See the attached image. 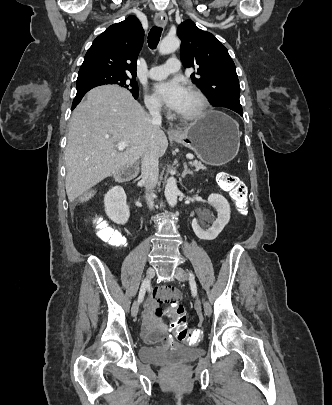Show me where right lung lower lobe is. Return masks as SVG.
I'll return each instance as SVG.
<instances>
[{
	"instance_id": "1",
	"label": "right lung lower lobe",
	"mask_w": 332,
	"mask_h": 405,
	"mask_svg": "<svg viewBox=\"0 0 332 405\" xmlns=\"http://www.w3.org/2000/svg\"><path fill=\"white\" fill-rule=\"evenodd\" d=\"M90 89L83 91V92H77L76 97L73 100L72 103V110L79 104V102L81 101V99L83 98V96L89 91ZM135 99L138 98V96H134Z\"/></svg>"
}]
</instances>
